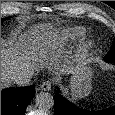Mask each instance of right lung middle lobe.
Wrapping results in <instances>:
<instances>
[{"instance_id":"dd1d6c3e","label":"right lung middle lobe","mask_w":115,"mask_h":115,"mask_svg":"<svg viewBox=\"0 0 115 115\" xmlns=\"http://www.w3.org/2000/svg\"><path fill=\"white\" fill-rule=\"evenodd\" d=\"M8 18H9V17H8ZM8 18H1V22L4 21V20H6V19H8Z\"/></svg>"}]
</instances>
